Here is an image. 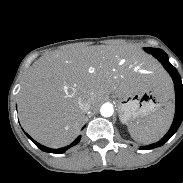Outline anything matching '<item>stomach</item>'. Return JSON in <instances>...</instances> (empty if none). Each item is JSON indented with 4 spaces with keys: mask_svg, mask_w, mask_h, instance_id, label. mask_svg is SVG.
Here are the masks:
<instances>
[{
    "mask_svg": "<svg viewBox=\"0 0 183 183\" xmlns=\"http://www.w3.org/2000/svg\"><path fill=\"white\" fill-rule=\"evenodd\" d=\"M143 82L135 81L134 90L130 93L118 95L117 105L121 122L126 124H136L152 113H155L165 103L154 88L144 89L137 87Z\"/></svg>",
    "mask_w": 183,
    "mask_h": 183,
    "instance_id": "stomach-1",
    "label": "stomach"
}]
</instances>
